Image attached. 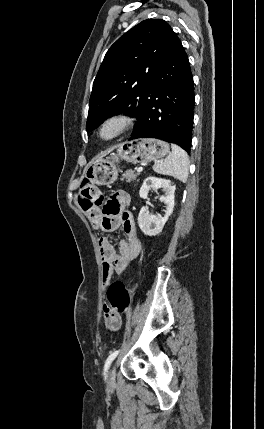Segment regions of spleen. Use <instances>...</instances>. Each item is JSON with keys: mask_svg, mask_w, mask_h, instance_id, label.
Listing matches in <instances>:
<instances>
[{"mask_svg": "<svg viewBox=\"0 0 264 429\" xmlns=\"http://www.w3.org/2000/svg\"><path fill=\"white\" fill-rule=\"evenodd\" d=\"M172 152L162 162L153 165V170L162 175L172 176L181 182H186L189 171V157L176 144H171Z\"/></svg>", "mask_w": 264, "mask_h": 429, "instance_id": "obj_1", "label": "spleen"}]
</instances>
